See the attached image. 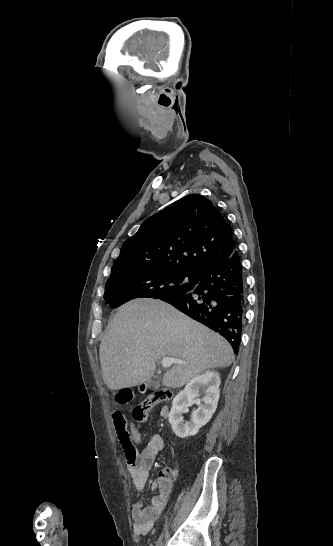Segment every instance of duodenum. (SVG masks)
Masks as SVG:
<instances>
[{"instance_id":"1","label":"duodenum","mask_w":333,"mask_h":546,"mask_svg":"<svg viewBox=\"0 0 333 546\" xmlns=\"http://www.w3.org/2000/svg\"><path fill=\"white\" fill-rule=\"evenodd\" d=\"M167 413H168V412H167V409L164 408V409L162 410V415H163L164 417H166V416H167Z\"/></svg>"}]
</instances>
